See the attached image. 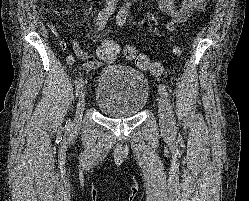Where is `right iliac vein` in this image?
I'll return each mask as SVG.
<instances>
[{
	"instance_id": "63e3f726",
	"label": "right iliac vein",
	"mask_w": 249,
	"mask_h": 201,
	"mask_svg": "<svg viewBox=\"0 0 249 201\" xmlns=\"http://www.w3.org/2000/svg\"><path fill=\"white\" fill-rule=\"evenodd\" d=\"M86 104V94L84 91H82L79 95L78 103H77V108H76V116L74 119V128L77 129L80 125L82 116H83V111L85 108Z\"/></svg>"
}]
</instances>
